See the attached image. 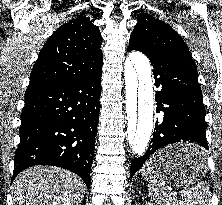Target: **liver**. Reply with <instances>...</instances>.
<instances>
[{
	"instance_id": "6515ba94",
	"label": "liver",
	"mask_w": 222,
	"mask_h": 205,
	"mask_svg": "<svg viewBox=\"0 0 222 205\" xmlns=\"http://www.w3.org/2000/svg\"><path fill=\"white\" fill-rule=\"evenodd\" d=\"M86 186L77 175L53 166H34L13 182V205H79Z\"/></svg>"
}]
</instances>
